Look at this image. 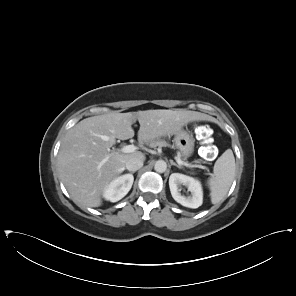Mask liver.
<instances>
[{"label": "liver", "mask_w": 296, "mask_h": 296, "mask_svg": "<svg viewBox=\"0 0 296 296\" xmlns=\"http://www.w3.org/2000/svg\"><path fill=\"white\" fill-rule=\"evenodd\" d=\"M136 120L140 124L138 142L148 144L175 134L189 122L212 121V117L196 111L157 109L110 112L81 120L66 133L58 154L60 178L76 204L100 206L104 188L124 171L126 162L133 157L145 160L140 151L125 154L110 149L116 139L134 137Z\"/></svg>", "instance_id": "obj_1"}]
</instances>
